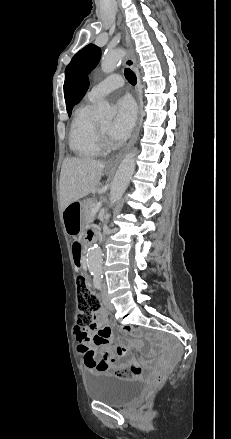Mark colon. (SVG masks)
Masks as SVG:
<instances>
[{"mask_svg":"<svg viewBox=\"0 0 231 439\" xmlns=\"http://www.w3.org/2000/svg\"><path fill=\"white\" fill-rule=\"evenodd\" d=\"M76 288H77V295H78V308H79V314H78V322L82 327L88 328L92 325L95 314L99 310L100 302L95 293L90 289L87 279L80 275L76 278ZM121 331L124 333H134L137 332L136 329H134L131 326H123L121 328ZM87 366L90 369H99L100 366H105L103 363L95 364L94 361H92L91 358H87ZM131 372L134 374H137L140 372V368L137 365H134L131 367ZM119 376H126L128 373L125 370H121L118 372ZM167 378L166 373L160 374L157 378H155L152 382V387H155L159 384H161L165 379ZM152 390L149 389L144 397H149L151 395Z\"/></svg>","mask_w":231,"mask_h":439,"instance_id":"obj_1","label":"colon"}]
</instances>
